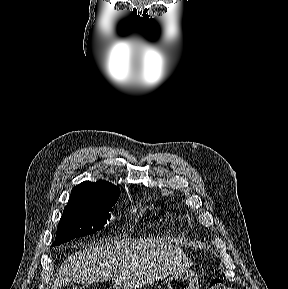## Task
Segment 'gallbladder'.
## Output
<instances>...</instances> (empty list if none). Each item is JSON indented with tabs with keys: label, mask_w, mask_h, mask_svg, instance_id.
<instances>
[{
	"label": "gallbladder",
	"mask_w": 288,
	"mask_h": 289,
	"mask_svg": "<svg viewBox=\"0 0 288 289\" xmlns=\"http://www.w3.org/2000/svg\"><path fill=\"white\" fill-rule=\"evenodd\" d=\"M76 282H78V280L77 279H73V280H69L64 285H71V284L76 283Z\"/></svg>",
	"instance_id": "gallbladder-1"
}]
</instances>
